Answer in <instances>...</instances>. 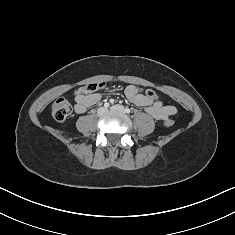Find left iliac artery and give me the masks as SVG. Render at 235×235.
Returning <instances> with one entry per match:
<instances>
[{
  "label": "left iliac artery",
  "instance_id": "1",
  "mask_svg": "<svg viewBox=\"0 0 235 235\" xmlns=\"http://www.w3.org/2000/svg\"><path fill=\"white\" fill-rule=\"evenodd\" d=\"M125 112H126V113H130L131 110H130L129 108H126V109H125Z\"/></svg>",
  "mask_w": 235,
  "mask_h": 235
}]
</instances>
